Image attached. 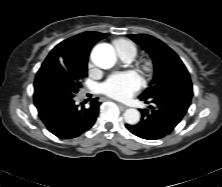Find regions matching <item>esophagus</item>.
I'll return each mask as SVG.
<instances>
[{
    "instance_id": "esophagus-1",
    "label": "esophagus",
    "mask_w": 222,
    "mask_h": 187,
    "mask_svg": "<svg viewBox=\"0 0 222 187\" xmlns=\"http://www.w3.org/2000/svg\"><path fill=\"white\" fill-rule=\"evenodd\" d=\"M118 105L122 108V109H127L128 107L124 104L118 103Z\"/></svg>"
}]
</instances>
